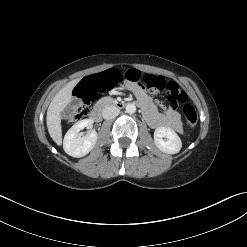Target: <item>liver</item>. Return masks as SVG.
<instances>
[{
    "label": "liver",
    "mask_w": 247,
    "mask_h": 247,
    "mask_svg": "<svg viewBox=\"0 0 247 247\" xmlns=\"http://www.w3.org/2000/svg\"><path fill=\"white\" fill-rule=\"evenodd\" d=\"M78 79L67 83L52 99L47 110L48 132L57 145L62 144L61 112L68 106L72 98V90L78 83Z\"/></svg>",
    "instance_id": "liver-1"
}]
</instances>
